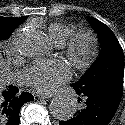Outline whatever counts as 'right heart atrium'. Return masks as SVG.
I'll return each instance as SVG.
<instances>
[{
  "label": "right heart atrium",
  "mask_w": 125,
  "mask_h": 125,
  "mask_svg": "<svg viewBox=\"0 0 125 125\" xmlns=\"http://www.w3.org/2000/svg\"><path fill=\"white\" fill-rule=\"evenodd\" d=\"M21 35V33H20V31L19 32H17L14 36H13V38L11 39V41H10V46H11V51L12 52H16V41H17V39H18V37Z\"/></svg>",
  "instance_id": "obj_1"
}]
</instances>
